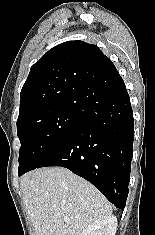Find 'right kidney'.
Returning <instances> with one entry per match:
<instances>
[{
  "mask_svg": "<svg viewBox=\"0 0 155 235\" xmlns=\"http://www.w3.org/2000/svg\"><path fill=\"white\" fill-rule=\"evenodd\" d=\"M117 218L113 215L103 216L87 226L81 235H115Z\"/></svg>",
  "mask_w": 155,
  "mask_h": 235,
  "instance_id": "ca27d5eb",
  "label": "right kidney"
}]
</instances>
